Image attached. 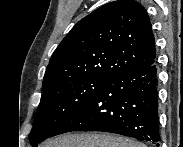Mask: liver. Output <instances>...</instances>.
Instances as JSON below:
<instances>
[{
  "label": "liver",
  "instance_id": "1",
  "mask_svg": "<svg viewBox=\"0 0 183 147\" xmlns=\"http://www.w3.org/2000/svg\"><path fill=\"white\" fill-rule=\"evenodd\" d=\"M44 147H146V145L112 134L76 133L49 140Z\"/></svg>",
  "mask_w": 183,
  "mask_h": 147
}]
</instances>
